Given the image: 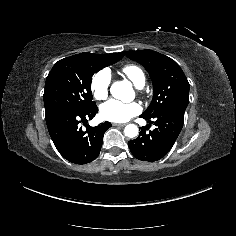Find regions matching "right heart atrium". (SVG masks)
Listing matches in <instances>:
<instances>
[{
  "label": "right heart atrium",
  "mask_w": 236,
  "mask_h": 236,
  "mask_svg": "<svg viewBox=\"0 0 236 236\" xmlns=\"http://www.w3.org/2000/svg\"><path fill=\"white\" fill-rule=\"evenodd\" d=\"M111 77L109 72H98L91 81V92L94 100L103 101L108 97Z\"/></svg>",
  "instance_id": "d8ad5b80"
}]
</instances>
